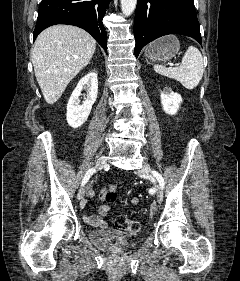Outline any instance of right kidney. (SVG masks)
<instances>
[{"instance_id":"1","label":"right kidney","mask_w":240,"mask_h":281,"mask_svg":"<svg viewBox=\"0 0 240 281\" xmlns=\"http://www.w3.org/2000/svg\"><path fill=\"white\" fill-rule=\"evenodd\" d=\"M82 90H85L87 94L84 96V101L80 103L79 97L82 95ZM97 94V73L90 72L80 79L68 101L66 119L69 126L78 128L87 121L92 105L97 99Z\"/></svg>"}]
</instances>
